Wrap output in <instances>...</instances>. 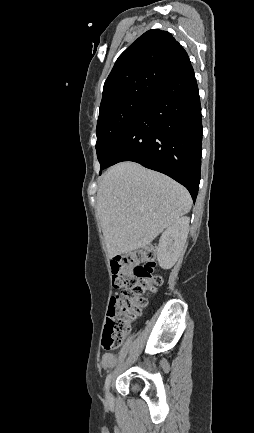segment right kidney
<instances>
[{"instance_id": "1", "label": "right kidney", "mask_w": 254, "mask_h": 433, "mask_svg": "<svg viewBox=\"0 0 254 433\" xmlns=\"http://www.w3.org/2000/svg\"><path fill=\"white\" fill-rule=\"evenodd\" d=\"M190 218L181 217L168 227L160 237L157 260L163 269H170L180 256L189 232Z\"/></svg>"}]
</instances>
